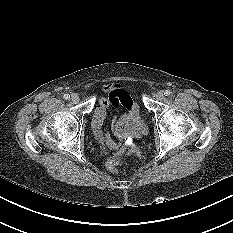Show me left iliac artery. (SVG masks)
<instances>
[{"mask_svg": "<svg viewBox=\"0 0 233 233\" xmlns=\"http://www.w3.org/2000/svg\"><path fill=\"white\" fill-rule=\"evenodd\" d=\"M170 93H171L170 90H165L164 95H165V96H169Z\"/></svg>", "mask_w": 233, "mask_h": 233, "instance_id": "obj_1", "label": "left iliac artery"}]
</instances>
